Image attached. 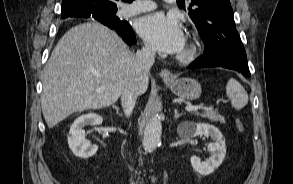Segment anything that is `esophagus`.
Segmentation results:
<instances>
[{
	"instance_id": "obj_1",
	"label": "esophagus",
	"mask_w": 293,
	"mask_h": 184,
	"mask_svg": "<svg viewBox=\"0 0 293 184\" xmlns=\"http://www.w3.org/2000/svg\"><path fill=\"white\" fill-rule=\"evenodd\" d=\"M160 77L163 80H170V79H172V74L168 69H162L160 72Z\"/></svg>"
}]
</instances>
